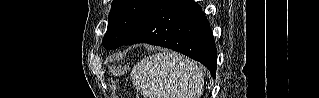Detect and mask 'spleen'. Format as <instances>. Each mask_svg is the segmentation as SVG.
<instances>
[{
    "label": "spleen",
    "mask_w": 319,
    "mask_h": 98,
    "mask_svg": "<svg viewBox=\"0 0 319 98\" xmlns=\"http://www.w3.org/2000/svg\"><path fill=\"white\" fill-rule=\"evenodd\" d=\"M131 80L147 98H199L204 75L197 63L168 51L142 59L133 67Z\"/></svg>",
    "instance_id": "obj_1"
}]
</instances>
